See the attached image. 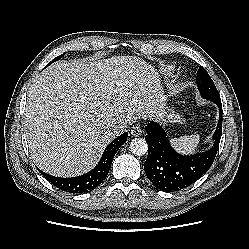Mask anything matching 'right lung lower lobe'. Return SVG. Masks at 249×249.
<instances>
[{"label":"right lung lower lobe","instance_id":"right-lung-lower-lobe-1","mask_svg":"<svg viewBox=\"0 0 249 249\" xmlns=\"http://www.w3.org/2000/svg\"><path fill=\"white\" fill-rule=\"evenodd\" d=\"M128 137V132H124L114 139L104 150L98 165L90 172L72 178H60L42 171V175L57 188L70 193H85L94 190L106 178L111 167L112 160Z\"/></svg>","mask_w":249,"mask_h":249}]
</instances>
